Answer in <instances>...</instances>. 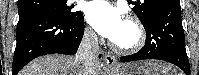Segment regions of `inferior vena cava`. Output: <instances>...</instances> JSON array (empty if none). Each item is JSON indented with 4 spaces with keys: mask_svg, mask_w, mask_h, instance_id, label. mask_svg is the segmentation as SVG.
I'll use <instances>...</instances> for the list:
<instances>
[{
    "mask_svg": "<svg viewBox=\"0 0 199 75\" xmlns=\"http://www.w3.org/2000/svg\"><path fill=\"white\" fill-rule=\"evenodd\" d=\"M98 38L95 32L86 31L81 41L77 58L84 64L83 75H95L98 63Z\"/></svg>",
    "mask_w": 199,
    "mask_h": 75,
    "instance_id": "obj_1",
    "label": "inferior vena cava"
}]
</instances>
